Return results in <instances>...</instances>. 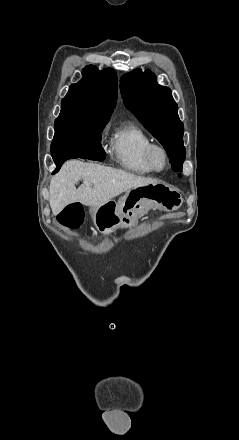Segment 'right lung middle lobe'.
<instances>
[{
	"instance_id": "1",
	"label": "right lung middle lobe",
	"mask_w": 239,
	"mask_h": 440,
	"mask_svg": "<svg viewBox=\"0 0 239 440\" xmlns=\"http://www.w3.org/2000/svg\"><path fill=\"white\" fill-rule=\"evenodd\" d=\"M109 119V117L82 116L61 111L55 120V134L51 143L52 154L88 144L101 145L100 132Z\"/></svg>"
}]
</instances>
